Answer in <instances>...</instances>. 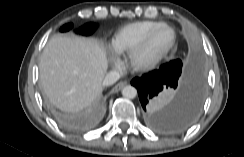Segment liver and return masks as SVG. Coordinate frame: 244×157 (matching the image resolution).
<instances>
[{
  "label": "liver",
  "mask_w": 244,
  "mask_h": 157,
  "mask_svg": "<svg viewBox=\"0 0 244 157\" xmlns=\"http://www.w3.org/2000/svg\"><path fill=\"white\" fill-rule=\"evenodd\" d=\"M108 68L105 47L76 36L51 38L40 58L39 76L49 100L65 112H76L98 100Z\"/></svg>",
  "instance_id": "obj_1"
}]
</instances>
